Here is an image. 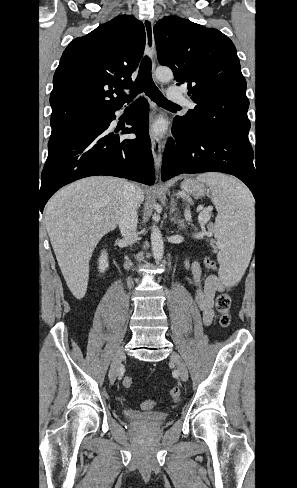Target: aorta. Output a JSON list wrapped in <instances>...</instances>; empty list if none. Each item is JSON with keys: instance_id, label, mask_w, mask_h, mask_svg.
Wrapping results in <instances>:
<instances>
[{"instance_id": "762f6f07", "label": "aorta", "mask_w": 297, "mask_h": 488, "mask_svg": "<svg viewBox=\"0 0 297 488\" xmlns=\"http://www.w3.org/2000/svg\"><path fill=\"white\" fill-rule=\"evenodd\" d=\"M155 76L157 80L162 82H167L173 79V73L171 69L167 67H158L155 71ZM156 218L157 216L154 215L153 219L155 220ZM151 247H152V253L155 261L156 262L161 261L164 254V243H163L161 232L158 226H156L155 224H153L152 226Z\"/></svg>"}]
</instances>
